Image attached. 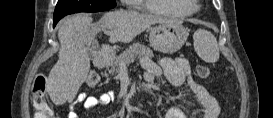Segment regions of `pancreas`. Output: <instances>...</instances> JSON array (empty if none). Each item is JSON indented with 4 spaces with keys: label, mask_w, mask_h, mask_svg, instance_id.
<instances>
[{
    "label": "pancreas",
    "mask_w": 273,
    "mask_h": 118,
    "mask_svg": "<svg viewBox=\"0 0 273 118\" xmlns=\"http://www.w3.org/2000/svg\"><path fill=\"white\" fill-rule=\"evenodd\" d=\"M154 54L152 50L140 43L132 44L127 50L117 56L111 66L110 73L116 74L120 68L133 62L136 58H152Z\"/></svg>",
    "instance_id": "obj_1"
}]
</instances>
